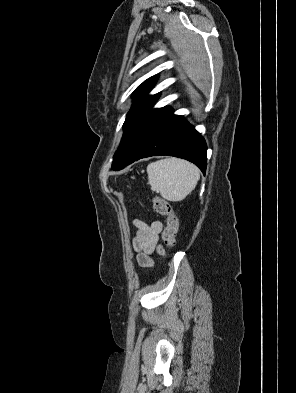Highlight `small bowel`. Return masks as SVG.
I'll return each instance as SVG.
<instances>
[{
    "label": "small bowel",
    "mask_w": 296,
    "mask_h": 393,
    "mask_svg": "<svg viewBox=\"0 0 296 393\" xmlns=\"http://www.w3.org/2000/svg\"><path fill=\"white\" fill-rule=\"evenodd\" d=\"M134 226L137 231L132 244L137 252V261L142 267H151L154 262L150 255L155 251L163 254V249L159 245L163 224L159 220L147 223L141 219H135Z\"/></svg>",
    "instance_id": "obj_1"
}]
</instances>
